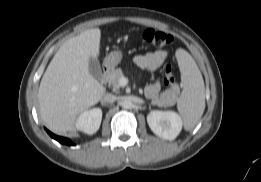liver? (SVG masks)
Masks as SVG:
<instances>
[{"mask_svg": "<svg viewBox=\"0 0 261 182\" xmlns=\"http://www.w3.org/2000/svg\"><path fill=\"white\" fill-rule=\"evenodd\" d=\"M101 30L89 29L62 44L49 63L38 90L41 118L55 133L75 130L77 116L95 105L105 88L89 73L97 59Z\"/></svg>", "mask_w": 261, "mask_h": 182, "instance_id": "6515ba94", "label": "liver"}]
</instances>
